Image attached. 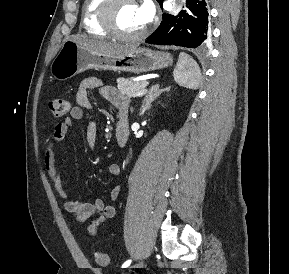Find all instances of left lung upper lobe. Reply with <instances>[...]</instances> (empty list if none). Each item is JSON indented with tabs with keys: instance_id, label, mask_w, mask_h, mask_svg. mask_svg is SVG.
<instances>
[{
	"instance_id": "1",
	"label": "left lung upper lobe",
	"mask_w": 289,
	"mask_h": 274,
	"mask_svg": "<svg viewBox=\"0 0 289 274\" xmlns=\"http://www.w3.org/2000/svg\"><path fill=\"white\" fill-rule=\"evenodd\" d=\"M159 3H161L163 0H157Z\"/></svg>"
}]
</instances>
